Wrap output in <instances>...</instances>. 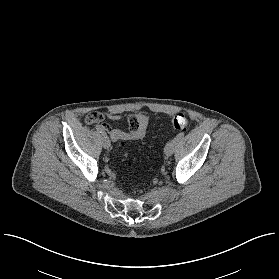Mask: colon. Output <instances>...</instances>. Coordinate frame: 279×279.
Instances as JSON below:
<instances>
[{
    "label": "colon",
    "instance_id": "5ec220e1",
    "mask_svg": "<svg viewBox=\"0 0 279 279\" xmlns=\"http://www.w3.org/2000/svg\"><path fill=\"white\" fill-rule=\"evenodd\" d=\"M188 124L189 120L184 114H177L171 121V125L174 129H184Z\"/></svg>",
    "mask_w": 279,
    "mask_h": 279
}]
</instances>
